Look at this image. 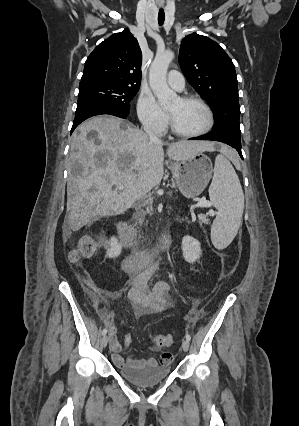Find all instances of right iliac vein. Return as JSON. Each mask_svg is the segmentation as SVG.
<instances>
[{
	"label": "right iliac vein",
	"instance_id": "1",
	"mask_svg": "<svg viewBox=\"0 0 299 426\" xmlns=\"http://www.w3.org/2000/svg\"><path fill=\"white\" fill-rule=\"evenodd\" d=\"M108 341H109V337L105 335V336L102 338V340H101V345H102L103 347H106V345H107Z\"/></svg>",
	"mask_w": 299,
	"mask_h": 426
}]
</instances>
